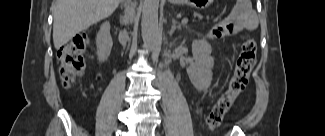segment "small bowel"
I'll return each instance as SVG.
<instances>
[{"label": "small bowel", "mask_w": 325, "mask_h": 136, "mask_svg": "<svg viewBox=\"0 0 325 136\" xmlns=\"http://www.w3.org/2000/svg\"><path fill=\"white\" fill-rule=\"evenodd\" d=\"M240 28H252V24L248 20H243L242 25L239 27H234L229 22H222L215 25L209 32L212 38H223L231 34L236 33ZM98 79H102V75H98Z\"/></svg>", "instance_id": "small-bowel-1"}]
</instances>
